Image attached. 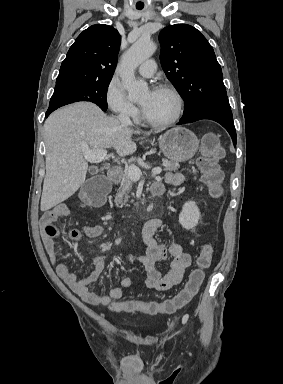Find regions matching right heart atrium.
<instances>
[{
    "instance_id": "d8ad5b80",
    "label": "right heart atrium",
    "mask_w": 283,
    "mask_h": 384,
    "mask_svg": "<svg viewBox=\"0 0 283 384\" xmlns=\"http://www.w3.org/2000/svg\"><path fill=\"white\" fill-rule=\"evenodd\" d=\"M105 99L109 109L124 120H132L137 117L136 106L127 99L121 84L112 78L106 87Z\"/></svg>"
}]
</instances>
